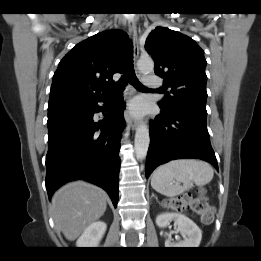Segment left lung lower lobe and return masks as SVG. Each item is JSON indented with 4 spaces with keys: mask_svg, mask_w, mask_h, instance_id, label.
<instances>
[{
    "mask_svg": "<svg viewBox=\"0 0 261 261\" xmlns=\"http://www.w3.org/2000/svg\"><path fill=\"white\" fill-rule=\"evenodd\" d=\"M206 119L207 112L186 104L162 110L150 125L146 177L159 165L180 158L202 159L218 169Z\"/></svg>",
    "mask_w": 261,
    "mask_h": 261,
    "instance_id": "1",
    "label": "left lung lower lobe"
}]
</instances>
